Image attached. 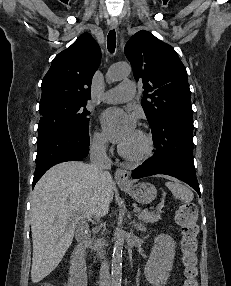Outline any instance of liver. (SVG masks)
<instances>
[{"label": "liver", "mask_w": 231, "mask_h": 286, "mask_svg": "<svg viewBox=\"0 0 231 286\" xmlns=\"http://www.w3.org/2000/svg\"><path fill=\"white\" fill-rule=\"evenodd\" d=\"M115 184L94 174L91 164L63 162L50 168L34 187L31 198L33 258L31 280L37 283L60 263L80 220L100 216L109 208Z\"/></svg>", "instance_id": "1"}]
</instances>
